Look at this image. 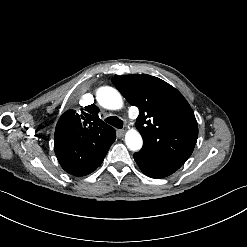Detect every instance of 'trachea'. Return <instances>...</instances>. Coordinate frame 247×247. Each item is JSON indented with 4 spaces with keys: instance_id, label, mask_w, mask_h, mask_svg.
<instances>
[{
    "instance_id": "1",
    "label": "trachea",
    "mask_w": 247,
    "mask_h": 247,
    "mask_svg": "<svg viewBox=\"0 0 247 247\" xmlns=\"http://www.w3.org/2000/svg\"><path fill=\"white\" fill-rule=\"evenodd\" d=\"M105 121L116 128L121 129L123 127V121L116 116L107 117Z\"/></svg>"
}]
</instances>
